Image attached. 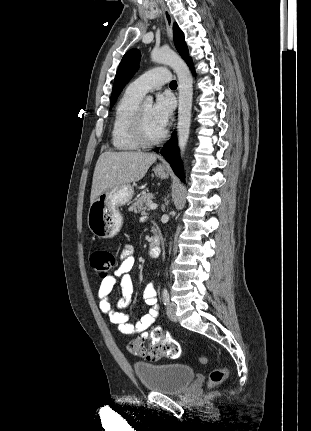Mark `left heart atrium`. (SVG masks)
<instances>
[{"instance_id":"39dd6f15","label":"left heart atrium","mask_w":311,"mask_h":431,"mask_svg":"<svg viewBox=\"0 0 311 431\" xmlns=\"http://www.w3.org/2000/svg\"><path fill=\"white\" fill-rule=\"evenodd\" d=\"M175 108V101L173 97L168 94H160L152 107V116L155 123L164 131L168 124L173 110Z\"/></svg>"}]
</instances>
